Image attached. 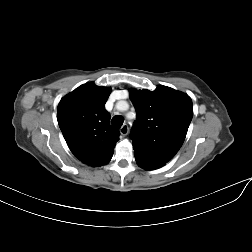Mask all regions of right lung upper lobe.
<instances>
[{
	"label": "right lung upper lobe",
	"mask_w": 252,
	"mask_h": 252,
	"mask_svg": "<svg viewBox=\"0 0 252 252\" xmlns=\"http://www.w3.org/2000/svg\"><path fill=\"white\" fill-rule=\"evenodd\" d=\"M111 88L93 83L81 85L61 99L58 124L71 152L88 166L107 164L120 132L109 124L105 103Z\"/></svg>",
	"instance_id": "cb5924a9"
}]
</instances>
